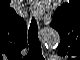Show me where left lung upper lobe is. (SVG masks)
I'll return each instance as SVG.
<instances>
[{
  "label": "left lung upper lobe",
  "instance_id": "1",
  "mask_svg": "<svg viewBox=\"0 0 80 60\" xmlns=\"http://www.w3.org/2000/svg\"><path fill=\"white\" fill-rule=\"evenodd\" d=\"M70 12L67 10V5H62L58 8L52 18L51 26L55 28L61 37L60 46L62 49L65 48V45L68 44V35L69 31V16Z\"/></svg>",
  "mask_w": 80,
  "mask_h": 60
}]
</instances>
